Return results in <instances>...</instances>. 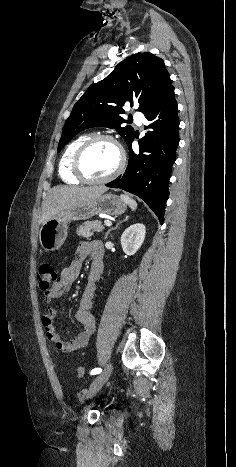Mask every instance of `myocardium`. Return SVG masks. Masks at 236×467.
<instances>
[{
  "instance_id": "obj_1",
  "label": "myocardium",
  "mask_w": 236,
  "mask_h": 467,
  "mask_svg": "<svg viewBox=\"0 0 236 467\" xmlns=\"http://www.w3.org/2000/svg\"><path fill=\"white\" fill-rule=\"evenodd\" d=\"M100 140L110 141L117 148V151L119 154V161H118L117 167L109 175L103 178H91L85 173L83 169V158L87 150L94 143ZM125 164H126V156L120 143L113 136L109 134H96L94 136L89 137L87 140H85L76 150L74 157H73V161H72V172L82 182L89 183V184H101V183L109 182L115 179L116 177H118L124 170Z\"/></svg>"
}]
</instances>
